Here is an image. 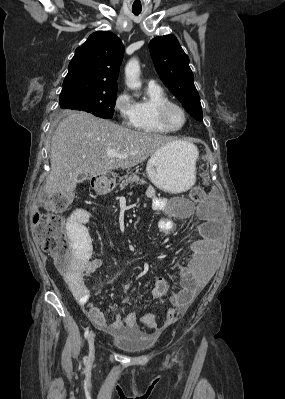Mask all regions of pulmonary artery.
I'll return each mask as SVG.
<instances>
[{"mask_svg":"<svg viewBox=\"0 0 285 399\" xmlns=\"http://www.w3.org/2000/svg\"><path fill=\"white\" fill-rule=\"evenodd\" d=\"M148 86L153 87V86H159L158 82L156 80L150 79L148 81Z\"/></svg>","mask_w":285,"mask_h":399,"instance_id":"1","label":"pulmonary artery"}]
</instances>
